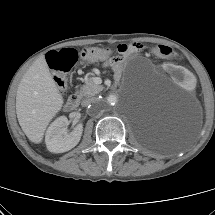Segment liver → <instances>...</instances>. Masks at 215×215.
Masks as SVG:
<instances>
[{
	"label": "liver",
	"instance_id": "6515ba94",
	"mask_svg": "<svg viewBox=\"0 0 215 215\" xmlns=\"http://www.w3.org/2000/svg\"><path fill=\"white\" fill-rule=\"evenodd\" d=\"M63 103L64 99L42 56L23 75L16 94L18 122L31 142H42L47 126Z\"/></svg>",
	"mask_w": 215,
	"mask_h": 215
}]
</instances>
